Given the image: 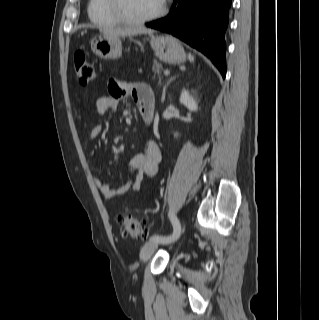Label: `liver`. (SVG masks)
<instances>
[{
	"label": "liver",
	"instance_id": "1",
	"mask_svg": "<svg viewBox=\"0 0 319 320\" xmlns=\"http://www.w3.org/2000/svg\"><path fill=\"white\" fill-rule=\"evenodd\" d=\"M103 34L112 35V36H130L137 34H151L152 30L146 29L145 27H126V28H104L102 29Z\"/></svg>",
	"mask_w": 319,
	"mask_h": 320
}]
</instances>
